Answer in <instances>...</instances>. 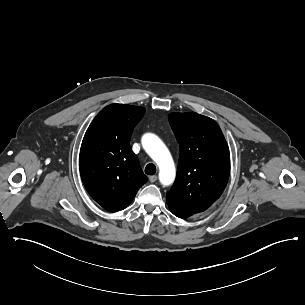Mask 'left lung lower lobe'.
Masks as SVG:
<instances>
[{
	"label": "left lung lower lobe",
	"instance_id": "obj_1",
	"mask_svg": "<svg viewBox=\"0 0 305 305\" xmlns=\"http://www.w3.org/2000/svg\"><path fill=\"white\" fill-rule=\"evenodd\" d=\"M169 209L171 210V212L175 215V216H177V217H179V218H187V217H189V216H192L191 214H189V213H185V212H182V211H180V210H178V209H176V208H173V207H169Z\"/></svg>",
	"mask_w": 305,
	"mask_h": 305
}]
</instances>
